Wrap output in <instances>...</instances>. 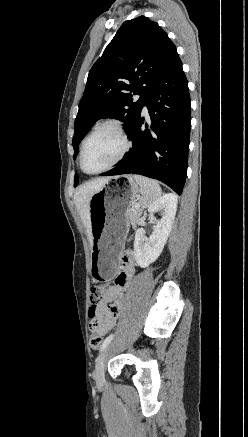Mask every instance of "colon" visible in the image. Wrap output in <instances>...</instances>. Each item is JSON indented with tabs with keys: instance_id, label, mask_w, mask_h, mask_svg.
<instances>
[{
	"instance_id": "obj_1",
	"label": "colon",
	"mask_w": 248,
	"mask_h": 437,
	"mask_svg": "<svg viewBox=\"0 0 248 437\" xmlns=\"http://www.w3.org/2000/svg\"><path fill=\"white\" fill-rule=\"evenodd\" d=\"M106 293V287L100 285H94L91 288V307L89 311V315L91 318L90 322V345L93 349H97L102 343L103 337L97 333L96 328L98 325V320L96 317V310L99 304L103 301Z\"/></svg>"
}]
</instances>
